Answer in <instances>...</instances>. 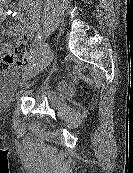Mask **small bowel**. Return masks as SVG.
<instances>
[{
	"label": "small bowel",
	"instance_id": "obj_1",
	"mask_svg": "<svg viewBox=\"0 0 133 173\" xmlns=\"http://www.w3.org/2000/svg\"><path fill=\"white\" fill-rule=\"evenodd\" d=\"M41 0H23L20 4L21 8H29L28 16L26 18L20 17L21 25L15 26L10 30L11 35H18L22 39H29L33 37L39 27V8ZM4 19V12L0 10V23Z\"/></svg>",
	"mask_w": 133,
	"mask_h": 173
}]
</instances>
